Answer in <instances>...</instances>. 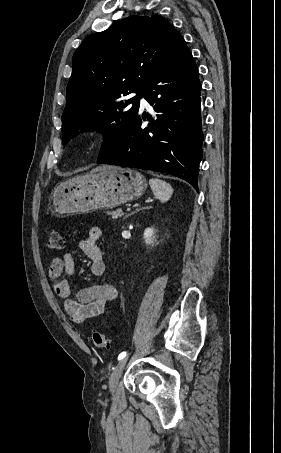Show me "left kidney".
I'll return each mask as SVG.
<instances>
[{
  "instance_id": "1",
  "label": "left kidney",
  "mask_w": 281,
  "mask_h": 453,
  "mask_svg": "<svg viewBox=\"0 0 281 453\" xmlns=\"http://www.w3.org/2000/svg\"><path fill=\"white\" fill-rule=\"evenodd\" d=\"M146 245H152L154 243V229H146L144 237Z\"/></svg>"
}]
</instances>
